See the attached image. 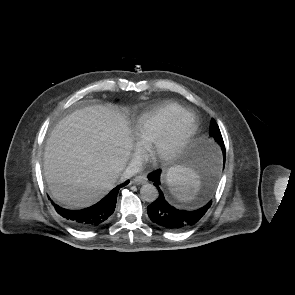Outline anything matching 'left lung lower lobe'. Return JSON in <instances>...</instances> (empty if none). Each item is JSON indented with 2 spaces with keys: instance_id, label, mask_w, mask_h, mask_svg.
<instances>
[{
  "instance_id": "left-lung-lower-lobe-1",
  "label": "left lung lower lobe",
  "mask_w": 295,
  "mask_h": 295,
  "mask_svg": "<svg viewBox=\"0 0 295 295\" xmlns=\"http://www.w3.org/2000/svg\"><path fill=\"white\" fill-rule=\"evenodd\" d=\"M222 152L225 160V151L223 149ZM160 173L161 170H157L148 175V179L153 181L154 185L159 190V198L147 207V212L151 221L170 231H181L189 228L198 222L207 212L212 201H209L205 206L193 211L180 210L171 206L165 200L163 193L159 188Z\"/></svg>"
}]
</instances>
